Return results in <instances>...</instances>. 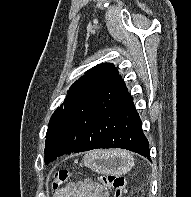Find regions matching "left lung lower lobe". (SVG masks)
Segmentation results:
<instances>
[{"mask_svg":"<svg viewBox=\"0 0 191 197\" xmlns=\"http://www.w3.org/2000/svg\"><path fill=\"white\" fill-rule=\"evenodd\" d=\"M73 152L122 148L150 159L149 142L125 83L87 99L64 129Z\"/></svg>","mask_w":191,"mask_h":197,"instance_id":"0a47b994","label":"left lung lower lobe"}]
</instances>
